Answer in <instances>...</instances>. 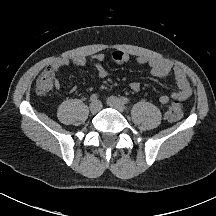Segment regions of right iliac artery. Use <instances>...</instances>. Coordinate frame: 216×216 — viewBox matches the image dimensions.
<instances>
[{"mask_svg":"<svg viewBox=\"0 0 216 216\" xmlns=\"http://www.w3.org/2000/svg\"><path fill=\"white\" fill-rule=\"evenodd\" d=\"M97 99H98V95H97V94H92L91 97H90V100H91L92 102H96Z\"/></svg>","mask_w":216,"mask_h":216,"instance_id":"82829eb1","label":"right iliac artery"}]
</instances>
